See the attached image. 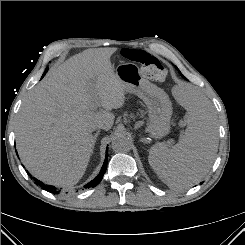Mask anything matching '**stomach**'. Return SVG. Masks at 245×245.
<instances>
[{
    "mask_svg": "<svg viewBox=\"0 0 245 245\" xmlns=\"http://www.w3.org/2000/svg\"><path fill=\"white\" fill-rule=\"evenodd\" d=\"M116 76L125 86V91L137 95L148 108V131L154 138L170 132L172 104L166 92L142 76L134 63H122L115 69Z\"/></svg>",
    "mask_w": 245,
    "mask_h": 245,
    "instance_id": "stomach-1",
    "label": "stomach"
}]
</instances>
